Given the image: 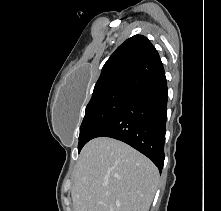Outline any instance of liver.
Returning <instances> with one entry per match:
<instances>
[{
	"instance_id": "6515ba94",
	"label": "liver",
	"mask_w": 221,
	"mask_h": 211,
	"mask_svg": "<svg viewBox=\"0 0 221 211\" xmlns=\"http://www.w3.org/2000/svg\"><path fill=\"white\" fill-rule=\"evenodd\" d=\"M157 167L129 145L95 138L82 149L71 190L74 211H149Z\"/></svg>"
}]
</instances>
